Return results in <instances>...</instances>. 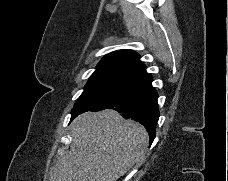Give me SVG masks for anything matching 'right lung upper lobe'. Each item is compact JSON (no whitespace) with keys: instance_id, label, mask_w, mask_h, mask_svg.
<instances>
[{"instance_id":"right-lung-upper-lobe-1","label":"right lung upper lobe","mask_w":228,"mask_h":181,"mask_svg":"<svg viewBox=\"0 0 228 181\" xmlns=\"http://www.w3.org/2000/svg\"><path fill=\"white\" fill-rule=\"evenodd\" d=\"M139 58V54L131 50L109 53L100 61L91 77H112L132 81L146 73V67Z\"/></svg>"}]
</instances>
